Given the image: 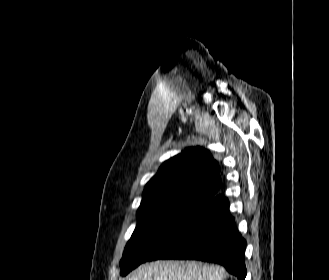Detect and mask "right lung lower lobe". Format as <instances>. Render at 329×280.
I'll list each match as a JSON object with an SVG mask.
<instances>
[{
  "mask_svg": "<svg viewBox=\"0 0 329 280\" xmlns=\"http://www.w3.org/2000/svg\"><path fill=\"white\" fill-rule=\"evenodd\" d=\"M246 241L237 232L229 213V202L214 196L205 207L171 237L149 259H194L223 265L229 273L244 280Z\"/></svg>",
  "mask_w": 329,
  "mask_h": 280,
  "instance_id": "right-lung-lower-lobe-1",
  "label": "right lung lower lobe"
}]
</instances>
